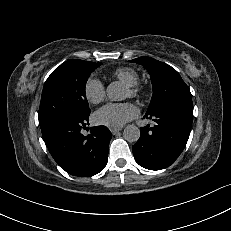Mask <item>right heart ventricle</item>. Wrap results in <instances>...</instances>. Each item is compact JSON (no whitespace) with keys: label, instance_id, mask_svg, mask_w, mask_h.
Listing matches in <instances>:
<instances>
[{"label":"right heart ventricle","instance_id":"obj_1","mask_svg":"<svg viewBox=\"0 0 231 231\" xmlns=\"http://www.w3.org/2000/svg\"><path fill=\"white\" fill-rule=\"evenodd\" d=\"M113 76L127 86L135 85L139 80L137 72L129 67L118 68L113 72Z\"/></svg>","mask_w":231,"mask_h":231}]
</instances>
